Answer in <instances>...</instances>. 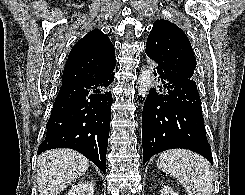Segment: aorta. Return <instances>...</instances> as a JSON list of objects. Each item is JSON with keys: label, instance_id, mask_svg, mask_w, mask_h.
<instances>
[{"label": "aorta", "instance_id": "obj_1", "mask_svg": "<svg viewBox=\"0 0 245 195\" xmlns=\"http://www.w3.org/2000/svg\"><path fill=\"white\" fill-rule=\"evenodd\" d=\"M151 76H152V71L150 68H145L141 70L137 85H138V93L143 98L147 97L150 91Z\"/></svg>", "mask_w": 245, "mask_h": 195}]
</instances>
